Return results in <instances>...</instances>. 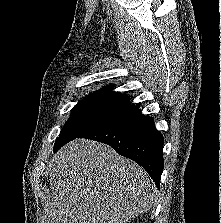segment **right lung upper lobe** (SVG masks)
Masks as SVG:
<instances>
[{"instance_id":"obj_1","label":"right lung upper lobe","mask_w":221,"mask_h":223,"mask_svg":"<svg viewBox=\"0 0 221 223\" xmlns=\"http://www.w3.org/2000/svg\"><path fill=\"white\" fill-rule=\"evenodd\" d=\"M113 88H114V85L103 87L101 90L91 93L90 97H87L85 99L109 101V102L130 105L128 103L129 102L128 96L125 94L118 93V92H113L112 91ZM135 107L137 108V106Z\"/></svg>"}]
</instances>
